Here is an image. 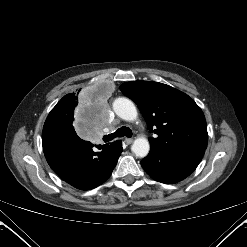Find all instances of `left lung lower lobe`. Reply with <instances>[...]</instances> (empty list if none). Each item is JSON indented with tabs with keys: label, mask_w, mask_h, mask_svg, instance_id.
I'll list each match as a JSON object with an SVG mask.
<instances>
[{
	"label": "left lung lower lobe",
	"mask_w": 247,
	"mask_h": 247,
	"mask_svg": "<svg viewBox=\"0 0 247 247\" xmlns=\"http://www.w3.org/2000/svg\"><path fill=\"white\" fill-rule=\"evenodd\" d=\"M204 151L199 147L165 150L153 146L141 165L154 180L165 184L177 183L196 169Z\"/></svg>",
	"instance_id": "1"
}]
</instances>
